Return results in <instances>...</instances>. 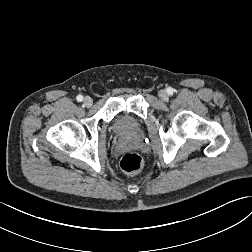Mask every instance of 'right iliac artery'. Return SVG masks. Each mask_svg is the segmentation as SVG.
Masks as SVG:
<instances>
[{
  "label": "right iliac artery",
  "instance_id": "1",
  "mask_svg": "<svg viewBox=\"0 0 252 252\" xmlns=\"http://www.w3.org/2000/svg\"><path fill=\"white\" fill-rule=\"evenodd\" d=\"M76 99H77V101L81 102V101L83 100V96H82V95H78V96L76 97Z\"/></svg>",
  "mask_w": 252,
  "mask_h": 252
}]
</instances>
